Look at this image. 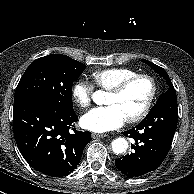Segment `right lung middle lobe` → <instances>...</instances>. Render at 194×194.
<instances>
[{
    "instance_id": "1",
    "label": "right lung middle lobe",
    "mask_w": 194,
    "mask_h": 194,
    "mask_svg": "<svg viewBox=\"0 0 194 194\" xmlns=\"http://www.w3.org/2000/svg\"><path fill=\"white\" fill-rule=\"evenodd\" d=\"M86 65L66 55L51 54L33 61L21 77L14 101L38 97L58 105L72 104V84Z\"/></svg>"
}]
</instances>
